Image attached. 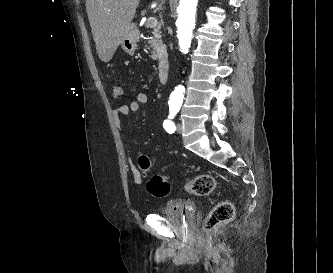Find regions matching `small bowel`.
I'll return each mask as SVG.
<instances>
[{
  "mask_svg": "<svg viewBox=\"0 0 333 273\" xmlns=\"http://www.w3.org/2000/svg\"><path fill=\"white\" fill-rule=\"evenodd\" d=\"M149 101V95L146 92H139L135 99L131 101L129 104H121L114 108L113 110V120L115 125L118 128L122 126V119L128 116L131 113H136L139 111L141 106L147 104ZM140 155L137 156V164L133 162L131 158H129V168L135 184L140 185L143 183L144 174L139 168L138 159Z\"/></svg>",
  "mask_w": 333,
  "mask_h": 273,
  "instance_id": "1",
  "label": "small bowel"
}]
</instances>
